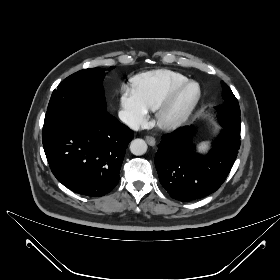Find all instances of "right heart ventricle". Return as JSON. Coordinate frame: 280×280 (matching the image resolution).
Here are the masks:
<instances>
[{"label": "right heart ventricle", "mask_w": 280, "mask_h": 280, "mask_svg": "<svg viewBox=\"0 0 280 280\" xmlns=\"http://www.w3.org/2000/svg\"><path fill=\"white\" fill-rule=\"evenodd\" d=\"M188 78L168 69L142 72L131 79L132 88L147 110H155L158 104L176 86Z\"/></svg>", "instance_id": "obj_1"}]
</instances>
